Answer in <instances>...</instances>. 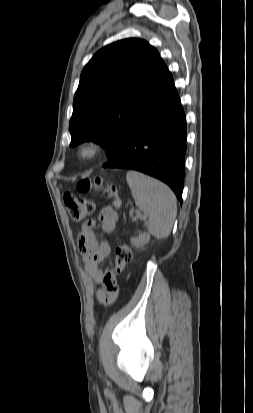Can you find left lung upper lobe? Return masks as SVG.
Segmentation results:
<instances>
[{
	"label": "left lung upper lobe",
	"instance_id": "left-lung-upper-lobe-1",
	"mask_svg": "<svg viewBox=\"0 0 253 413\" xmlns=\"http://www.w3.org/2000/svg\"><path fill=\"white\" fill-rule=\"evenodd\" d=\"M168 68L141 39H124L99 50L84 67L69 123L70 146L101 144L108 161L119 153L127 122L139 113Z\"/></svg>",
	"mask_w": 253,
	"mask_h": 413
}]
</instances>
